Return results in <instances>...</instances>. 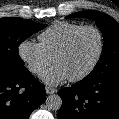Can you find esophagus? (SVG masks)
<instances>
[{
    "label": "esophagus",
    "mask_w": 119,
    "mask_h": 119,
    "mask_svg": "<svg viewBox=\"0 0 119 119\" xmlns=\"http://www.w3.org/2000/svg\"><path fill=\"white\" fill-rule=\"evenodd\" d=\"M45 91H46L47 94H54V93L57 92V89L49 87V86H46L45 87Z\"/></svg>",
    "instance_id": "obj_1"
}]
</instances>
